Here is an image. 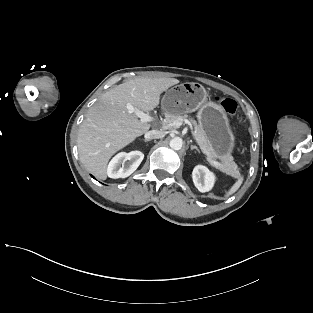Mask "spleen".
Returning a JSON list of instances; mask_svg holds the SVG:
<instances>
[{
	"instance_id": "obj_1",
	"label": "spleen",
	"mask_w": 313,
	"mask_h": 313,
	"mask_svg": "<svg viewBox=\"0 0 313 313\" xmlns=\"http://www.w3.org/2000/svg\"><path fill=\"white\" fill-rule=\"evenodd\" d=\"M243 182V177L239 176L238 180L233 184V186L226 192L225 197H229L234 194L241 186Z\"/></svg>"
}]
</instances>
